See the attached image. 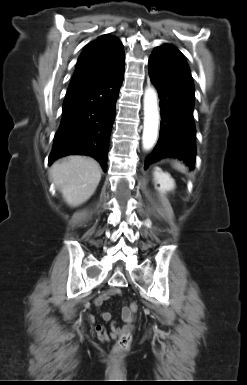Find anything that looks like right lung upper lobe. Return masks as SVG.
Instances as JSON below:
<instances>
[{
  "label": "right lung upper lobe",
  "instance_id": "obj_1",
  "mask_svg": "<svg viewBox=\"0 0 247 385\" xmlns=\"http://www.w3.org/2000/svg\"><path fill=\"white\" fill-rule=\"evenodd\" d=\"M124 64L122 43L114 36L103 35L88 44L81 53L68 89L111 74Z\"/></svg>",
  "mask_w": 247,
  "mask_h": 385
}]
</instances>
